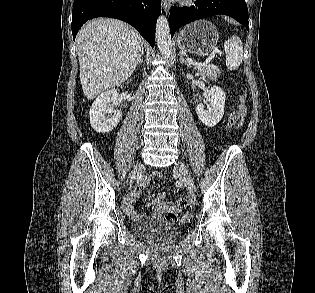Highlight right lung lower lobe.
I'll return each instance as SVG.
<instances>
[{
  "mask_svg": "<svg viewBox=\"0 0 315 293\" xmlns=\"http://www.w3.org/2000/svg\"><path fill=\"white\" fill-rule=\"evenodd\" d=\"M160 14V0H75L72 11L73 39L87 20L110 17L131 24L154 47L156 21Z\"/></svg>",
  "mask_w": 315,
  "mask_h": 293,
  "instance_id": "obj_1",
  "label": "right lung lower lobe"
}]
</instances>
